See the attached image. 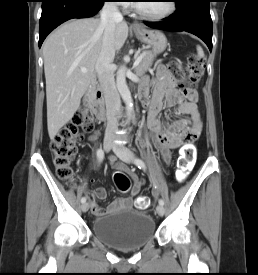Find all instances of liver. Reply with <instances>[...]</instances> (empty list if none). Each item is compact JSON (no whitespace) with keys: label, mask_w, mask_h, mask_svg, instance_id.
<instances>
[{"label":"liver","mask_w":258,"mask_h":275,"mask_svg":"<svg viewBox=\"0 0 258 275\" xmlns=\"http://www.w3.org/2000/svg\"><path fill=\"white\" fill-rule=\"evenodd\" d=\"M128 31L125 22L116 25L115 50L123 47ZM103 34L99 19H74L61 25L45 40L43 59L50 139H54L78 110L81 98L94 78ZM81 68L87 71L82 72Z\"/></svg>","instance_id":"6515ba94"}]
</instances>
